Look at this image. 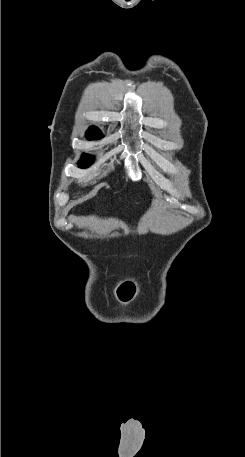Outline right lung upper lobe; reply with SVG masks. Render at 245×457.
Listing matches in <instances>:
<instances>
[{"label":"right lung upper lobe","mask_w":245,"mask_h":457,"mask_svg":"<svg viewBox=\"0 0 245 457\" xmlns=\"http://www.w3.org/2000/svg\"><path fill=\"white\" fill-rule=\"evenodd\" d=\"M92 128H93V129H98V128H96V127H92Z\"/></svg>","instance_id":"obj_1"}]
</instances>
